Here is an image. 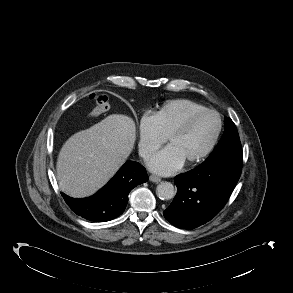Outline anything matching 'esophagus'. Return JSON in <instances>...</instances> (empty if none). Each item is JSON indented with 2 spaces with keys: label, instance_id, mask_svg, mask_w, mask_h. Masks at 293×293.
Here are the masks:
<instances>
[{
  "label": "esophagus",
  "instance_id": "34e87169",
  "mask_svg": "<svg viewBox=\"0 0 293 293\" xmlns=\"http://www.w3.org/2000/svg\"><path fill=\"white\" fill-rule=\"evenodd\" d=\"M149 180H150L151 182H154V183H160V182H161V178H159V177H157V176H155V175H150V176H149Z\"/></svg>",
  "mask_w": 293,
  "mask_h": 293
}]
</instances>
